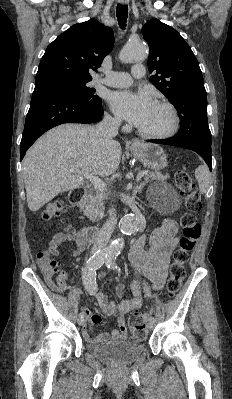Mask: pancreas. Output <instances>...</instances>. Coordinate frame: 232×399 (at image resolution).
<instances>
[{
  "instance_id": "1",
  "label": "pancreas",
  "mask_w": 232,
  "mask_h": 399,
  "mask_svg": "<svg viewBox=\"0 0 232 399\" xmlns=\"http://www.w3.org/2000/svg\"><path fill=\"white\" fill-rule=\"evenodd\" d=\"M167 178H170V176L168 174L163 176L162 172H147L142 184L145 186L147 182H152V180H167ZM104 200H106V194L100 192V190H95L94 194H88L86 200L83 201V205H81L83 215H87L92 221H100L101 217H104Z\"/></svg>"
}]
</instances>
